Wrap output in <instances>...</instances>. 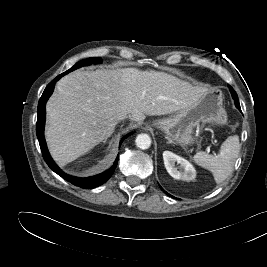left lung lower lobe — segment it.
I'll use <instances>...</instances> for the list:
<instances>
[{"mask_svg":"<svg viewBox=\"0 0 267 267\" xmlns=\"http://www.w3.org/2000/svg\"><path fill=\"white\" fill-rule=\"evenodd\" d=\"M229 89H230V92H231V94H232V98L234 99V101H235V105H236V107L241 111V109H240V104H239V101H238V96H237V94H236V92L234 91V89L230 86L229 87ZM161 189H162V187H160ZM163 190V189H162ZM164 191V190H163ZM165 192V191H164ZM167 195H169V196H171L170 194H168L167 192H165ZM171 197H173V196H171ZM173 198H175V197H173Z\"/></svg>","mask_w":267,"mask_h":267,"instance_id":"0a47b994","label":"left lung lower lobe"}]
</instances>
